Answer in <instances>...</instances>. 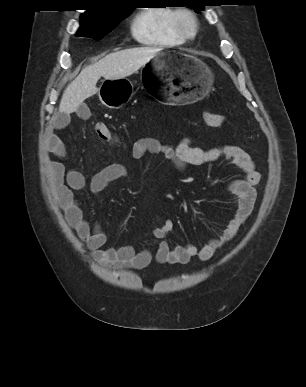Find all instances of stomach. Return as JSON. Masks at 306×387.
Returning <instances> with one entry per match:
<instances>
[{"label":"stomach","mask_w":306,"mask_h":387,"mask_svg":"<svg viewBox=\"0 0 306 387\" xmlns=\"http://www.w3.org/2000/svg\"><path fill=\"white\" fill-rule=\"evenodd\" d=\"M141 78L148 90L163 103L164 108H189L210 91L213 75L195 56L167 46L159 51L141 70ZM129 94L125 80H109L99 90L101 102L109 108L124 105Z\"/></svg>","instance_id":"obj_1"}]
</instances>
